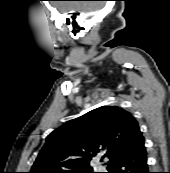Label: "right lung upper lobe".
Returning a JSON list of instances; mask_svg holds the SVG:
<instances>
[{
    "label": "right lung upper lobe",
    "mask_w": 170,
    "mask_h": 173,
    "mask_svg": "<svg viewBox=\"0 0 170 173\" xmlns=\"http://www.w3.org/2000/svg\"><path fill=\"white\" fill-rule=\"evenodd\" d=\"M144 141L130 112L118 106H102L50 133L30 173L89 169L90 161L103 152L109 165L144 145Z\"/></svg>",
    "instance_id": "1"
}]
</instances>
